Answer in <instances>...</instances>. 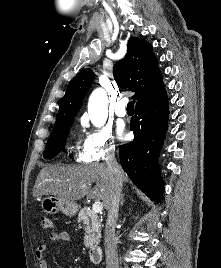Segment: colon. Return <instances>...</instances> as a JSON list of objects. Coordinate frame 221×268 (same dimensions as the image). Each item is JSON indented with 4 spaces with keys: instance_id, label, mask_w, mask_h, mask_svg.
Instances as JSON below:
<instances>
[{
    "instance_id": "obj_1",
    "label": "colon",
    "mask_w": 221,
    "mask_h": 268,
    "mask_svg": "<svg viewBox=\"0 0 221 268\" xmlns=\"http://www.w3.org/2000/svg\"><path fill=\"white\" fill-rule=\"evenodd\" d=\"M40 220L44 229L49 230L53 227V222L48 216H42Z\"/></svg>"
}]
</instances>
